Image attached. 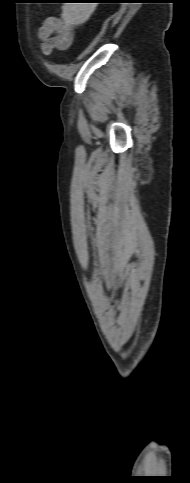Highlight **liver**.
Masks as SVG:
<instances>
[{"instance_id": "obj_1", "label": "liver", "mask_w": 190, "mask_h": 483, "mask_svg": "<svg viewBox=\"0 0 190 483\" xmlns=\"http://www.w3.org/2000/svg\"><path fill=\"white\" fill-rule=\"evenodd\" d=\"M96 5L97 3H65L62 6L61 18L66 25L83 24L90 18Z\"/></svg>"}]
</instances>
